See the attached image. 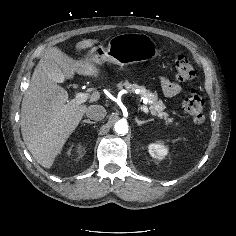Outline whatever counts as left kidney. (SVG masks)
Returning <instances> with one entry per match:
<instances>
[{"label": "left kidney", "instance_id": "obj_1", "mask_svg": "<svg viewBox=\"0 0 236 236\" xmlns=\"http://www.w3.org/2000/svg\"><path fill=\"white\" fill-rule=\"evenodd\" d=\"M149 154L156 159L162 160L168 153V149L160 143H152L148 146Z\"/></svg>", "mask_w": 236, "mask_h": 236}]
</instances>
